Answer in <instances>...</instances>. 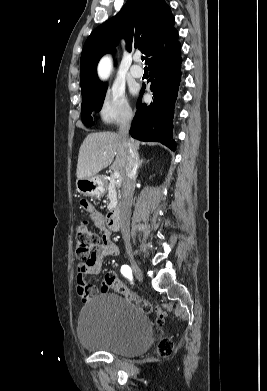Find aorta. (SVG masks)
Instances as JSON below:
<instances>
[{"label": "aorta", "mask_w": 267, "mask_h": 391, "mask_svg": "<svg viewBox=\"0 0 267 391\" xmlns=\"http://www.w3.org/2000/svg\"><path fill=\"white\" fill-rule=\"evenodd\" d=\"M111 67V61L109 57H104L99 64V73L102 78L106 77Z\"/></svg>", "instance_id": "762f6f07"}]
</instances>
